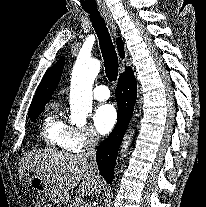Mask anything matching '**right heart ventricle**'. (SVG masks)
Instances as JSON below:
<instances>
[{
	"label": "right heart ventricle",
	"instance_id": "right-heart-ventricle-1",
	"mask_svg": "<svg viewBox=\"0 0 206 207\" xmlns=\"http://www.w3.org/2000/svg\"><path fill=\"white\" fill-rule=\"evenodd\" d=\"M69 125L59 116L58 109L51 110L43 119L41 135L48 146L69 150L67 134Z\"/></svg>",
	"mask_w": 206,
	"mask_h": 207
}]
</instances>
